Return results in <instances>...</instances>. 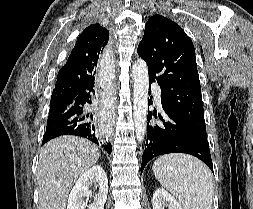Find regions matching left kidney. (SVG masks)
<instances>
[{
	"label": "left kidney",
	"instance_id": "left-kidney-1",
	"mask_svg": "<svg viewBox=\"0 0 253 209\" xmlns=\"http://www.w3.org/2000/svg\"><path fill=\"white\" fill-rule=\"evenodd\" d=\"M152 206L153 209H165L167 206L168 209H183L177 200L163 188H158L154 192Z\"/></svg>",
	"mask_w": 253,
	"mask_h": 209
}]
</instances>
